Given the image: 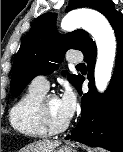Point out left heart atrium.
<instances>
[{
	"label": "left heart atrium",
	"instance_id": "obj_1",
	"mask_svg": "<svg viewBox=\"0 0 123 152\" xmlns=\"http://www.w3.org/2000/svg\"><path fill=\"white\" fill-rule=\"evenodd\" d=\"M59 100L65 118L70 120L74 115L77 106L75 92L71 87L67 86Z\"/></svg>",
	"mask_w": 123,
	"mask_h": 152
}]
</instances>
